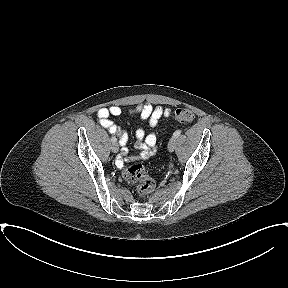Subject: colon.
Wrapping results in <instances>:
<instances>
[{
    "label": "colon",
    "mask_w": 288,
    "mask_h": 288,
    "mask_svg": "<svg viewBox=\"0 0 288 288\" xmlns=\"http://www.w3.org/2000/svg\"><path fill=\"white\" fill-rule=\"evenodd\" d=\"M194 117V113L187 108L177 109L174 113V119L182 124L191 123ZM123 178L129 183L136 184V191L141 197L149 196L155 189L154 180L150 178L141 164L126 167L123 170Z\"/></svg>",
    "instance_id": "colon-1"
}]
</instances>
